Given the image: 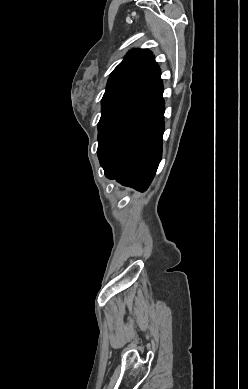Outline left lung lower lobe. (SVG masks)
Listing matches in <instances>:
<instances>
[{
  "instance_id": "0a47b994",
  "label": "left lung lower lobe",
  "mask_w": 248,
  "mask_h": 389,
  "mask_svg": "<svg viewBox=\"0 0 248 389\" xmlns=\"http://www.w3.org/2000/svg\"><path fill=\"white\" fill-rule=\"evenodd\" d=\"M155 62L103 109L98 157L106 177L144 191L162 156L163 83Z\"/></svg>"
}]
</instances>
